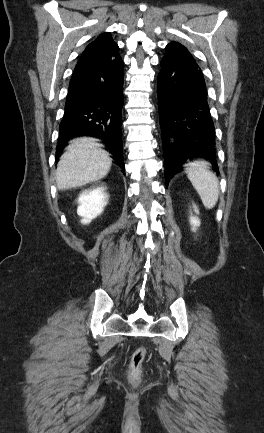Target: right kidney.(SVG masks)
Segmentation results:
<instances>
[{
  "label": "right kidney",
  "mask_w": 264,
  "mask_h": 433,
  "mask_svg": "<svg viewBox=\"0 0 264 433\" xmlns=\"http://www.w3.org/2000/svg\"><path fill=\"white\" fill-rule=\"evenodd\" d=\"M104 187L84 190L78 198L77 214L82 217V224H89L99 216L107 205L108 196Z\"/></svg>",
  "instance_id": "right-kidney-1"
}]
</instances>
